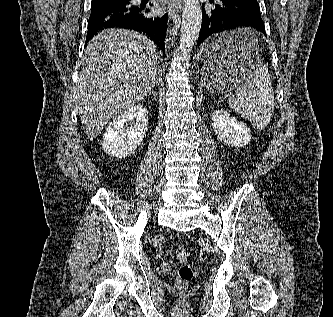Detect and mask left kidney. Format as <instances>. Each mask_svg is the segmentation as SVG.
I'll return each instance as SVG.
<instances>
[{
    "instance_id": "1",
    "label": "left kidney",
    "mask_w": 333,
    "mask_h": 317,
    "mask_svg": "<svg viewBox=\"0 0 333 317\" xmlns=\"http://www.w3.org/2000/svg\"><path fill=\"white\" fill-rule=\"evenodd\" d=\"M211 123L219 140L228 146L244 147L251 140V131L247 125L223 109L212 113Z\"/></svg>"
}]
</instances>
